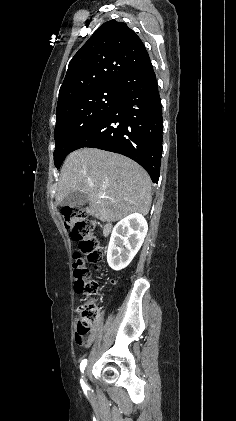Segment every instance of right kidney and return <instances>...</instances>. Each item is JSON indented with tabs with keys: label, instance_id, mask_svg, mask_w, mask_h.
Segmentation results:
<instances>
[{
	"label": "right kidney",
	"instance_id": "ca27d5eb",
	"mask_svg": "<svg viewBox=\"0 0 236 421\" xmlns=\"http://www.w3.org/2000/svg\"><path fill=\"white\" fill-rule=\"evenodd\" d=\"M148 225L143 215L133 213L115 225L107 251V263L113 271L128 267L147 235Z\"/></svg>",
	"mask_w": 236,
	"mask_h": 421
}]
</instances>
